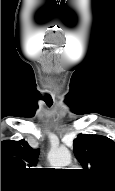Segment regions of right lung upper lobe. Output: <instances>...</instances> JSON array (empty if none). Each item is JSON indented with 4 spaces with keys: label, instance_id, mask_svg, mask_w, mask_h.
<instances>
[{
    "label": "right lung upper lobe",
    "instance_id": "1",
    "mask_svg": "<svg viewBox=\"0 0 115 191\" xmlns=\"http://www.w3.org/2000/svg\"><path fill=\"white\" fill-rule=\"evenodd\" d=\"M39 151L25 140L1 141V184L20 181L31 167L36 166Z\"/></svg>",
    "mask_w": 115,
    "mask_h": 191
}]
</instances>
